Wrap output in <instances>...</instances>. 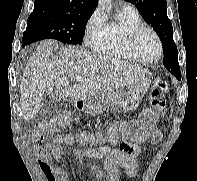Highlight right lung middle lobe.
<instances>
[{"label": "right lung middle lobe", "instance_id": "right-lung-middle-lobe-1", "mask_svg": "<svg viewBox=\"0 0 197 181\" xmlns=\"http://www.w3.org/2000/svg\"><path fill=\"white\" fill-rule=\"evenodd\" d=\"M91 14L34 10L28 18L23 42L30 44L42 39H56L66 44L80 45Z\"/></svg>", "mask_w": 197, "mask_h": 181}]
</instances>
